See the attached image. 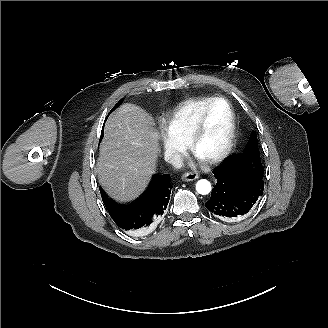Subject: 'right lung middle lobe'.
<instances>
[{"instance_id":"right-lung-middle-lobe-1","label":"right lung middle lobe","mask_w":328,"mask_h":328,"mask_svg":"<svg viewBox=\"0 0 328 328\" xmlns=\"http://www.w3.org/2000/svg\"><path fill=\"white\" fill-rule=\"evenodd\" d=\"M122 103V100L121 101H119L114 107H113V109L110 111V113L113 111V110H115L120 104ZM109 113V114H110ZM103 137V132L101 133V138ZM100 138V139H101Z\"/></svg>"}]
</instances>
